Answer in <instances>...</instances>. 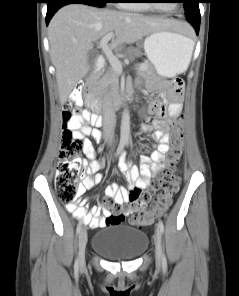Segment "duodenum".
I'll return each instance as SVG.
<instances>
[{"label": "duodenum", "instance_id": "obj_1", "mask_svg": "<svg viewBox=\"0 0 239 296\" xmlns=\"http://www.w3.org/2000/svg\"><path fill=\"white\" fill-rule=\"evenodd\" d=\"M105 57L102 55L97 56L96 61H95V73H98L103 66L105 65ZM85 89V85L82 83H79L76 85L75 90L73 95L75 96V98L77 99L79 97V94H81ZM86 104L89 108H91L94 111H97L99 109L98 103L95 101L94 96L91 92V87L90 85L86 86ZM126 101V98L124 96H120L117 101L116 104L117 105H122L124 102ZM103 124V120L100 117H97L96 121H95V125L100 127Z\"/></svg>", "mask_w": 239, "mask_h": 296}]
</instances>
